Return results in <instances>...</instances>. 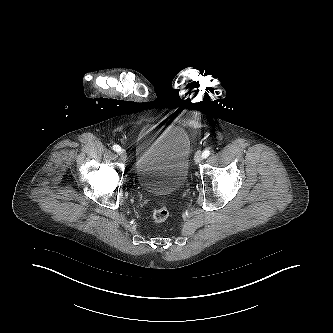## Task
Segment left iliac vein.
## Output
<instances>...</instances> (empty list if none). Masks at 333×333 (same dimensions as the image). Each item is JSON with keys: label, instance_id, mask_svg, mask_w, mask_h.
<instances>
[{"label": "left iliac vein", "instance_id": "1", "mask_svg": "<svg viewBox=\"0 0 333 333\" xmlns=\"http://www.w3.org/2000/svg\"><path fill=\"white\" fill-rule=\"evenodd\" d=\"M202 159V155L199 152L195 154L194 161L196 164L200 163Z\"/></svg>", "mask_w": 333, "mask_h": 333}]
</instances>
